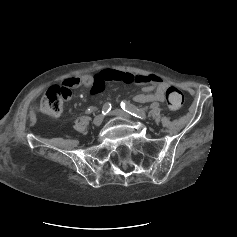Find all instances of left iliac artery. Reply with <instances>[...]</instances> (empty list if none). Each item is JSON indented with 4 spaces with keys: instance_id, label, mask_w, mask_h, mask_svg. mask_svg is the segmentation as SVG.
Masks as SVG:
<instances>
[{
    "instance_id": "left-iliac-artery-1",
    "label": "left iliac artery",
    "mask_w": 237,
    "mask_h": 237,
    "mask_svg": "<svg viewBox=\"0 0 237 237\" xmlns=\"http://www.w3.org/2000/svg\"><path fill=\"white\" fill-rule=\"evenodd\" d=\"M121 107L123 110H125L127 113L138 117V118H143L145 115V112L143 109H138L136 106L129 104V103H125V102H121ZM159 107V103L154 102L150 105L151 109H155Z\"/></svg>"
}]
</instances>
